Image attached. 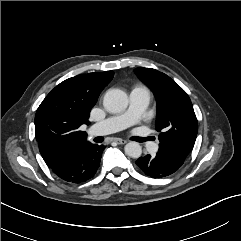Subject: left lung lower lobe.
<instances>
[{
	"mask_svg": "<svg viewBox=\"0 0 241 241\" xmlns=\"http://www.w3.org/2000/svg\"><path fill=\"white\" fill-rule=\"evenodd\" d=\"M137 166L144 174L152 178H162L176 172L179 167L164 161L159 156L146 155L138 158Z\"/></svg>",
	"mask_w": 241,
	"mask_h": 241,
	"instance_id": "1",
	"label": "left lung lower lobe"
}]
</instances>
